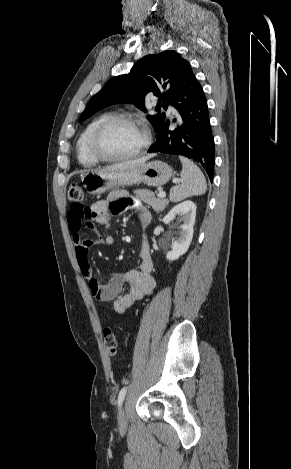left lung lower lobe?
<instances>
[{
	"instance_id": "obj_1",
	"label": "left lung lower lobe",
	"mask_w": 291,
	"mask_h": 469,
	"mask_svg": "<svg viewBox=\"0 0 291 469\" xmlns=\"http://www.w3.org/2000/svg\"><path fill=\"white\" fill-rule=\"evenodd\" d=\"M179 113V120H173L178 126L169 130V120L157 130L156 143L148 150L185 156L200 164L208 174L210 181L214 177L215 144L212 135L208 107L202 86L192 69L169 100ZM167 108V106H166Z\"/></svg>"
}]
</instances>
